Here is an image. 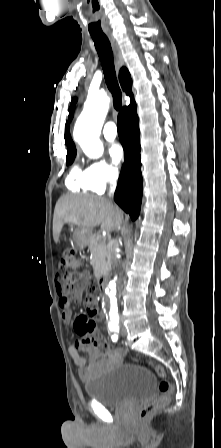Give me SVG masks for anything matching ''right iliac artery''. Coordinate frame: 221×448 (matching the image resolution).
Wrapping results in <instances>:
<instances>
[{
  "instance_id": "right-iliac-artery-1",
  "label": "right iliac artery",
  "mask_w": 221,
  "mask_h": 448,
  "mask_svg": "<svg viewBox=\"0 0 221 448\" xmlns=\"http://www.w3.org/2000/svg\"><path fill=\"white\" fill-rule=\"evenodd\" d=\"M108 327L111 332H119V319L117 316L116 317L110 316Z\"/></svg>"
}]
</instances>
